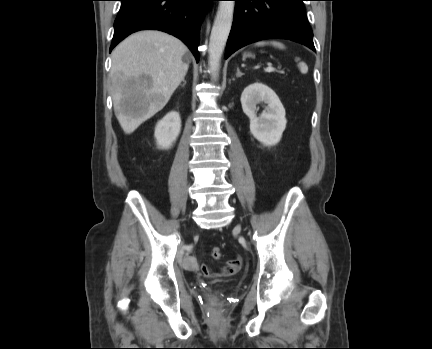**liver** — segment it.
<instances>
[{
  "label": "liver",
  "mask_w": 432,
  "mask_h": 349,
  "mask_svg": "<svg viewBox=\"0 0 432 349\" xmlns=\"http://www.w3.org/2000/svg\"><path fill=\"white\" fill-rule=\"evenodd\" d=\"M187 47L161 31L136 32L112 52L110 78L115 115L126 134L162 110L184 80L189 64L182 60ZM134 103L132 112L121 104Z\"/></svg>",
  "instance_id": "liver-1"
}]
</instances>
